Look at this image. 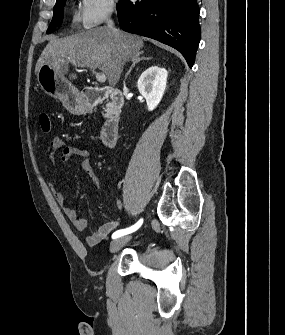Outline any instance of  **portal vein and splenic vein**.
<instances>
[{
    "mask_svg": "<svg viewBox=\"0 0 285 335\" xmlns=\"http://www.w3.org/2000/svg\"><path fill=\"white\" fill-rule=\"evenodd\" d=\"M97 82H106L105 74H95Z\"/></svg>",
    "mask_w": 285,
    "mask_h": 335,
    "instance_id": "obj_1",
    "label": "portal vein and splenic vein"
}]
</instances>
